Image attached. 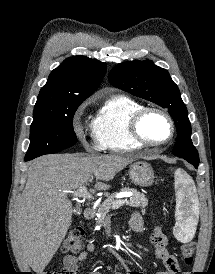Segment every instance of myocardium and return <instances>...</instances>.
<instances>
[{"label":"myocardium","mask_w":215,"mask_h":274,"mask_svg":"<svg viewBox=\"0 0 215 274\" xmlns=\"http://www.w3.org/2000/svg\"><path fill=\"white\" fill-rule=\"evenodd\" d=\"M150 113H158V114L162 115L169 123L170 135L166 140H164L162 142L155 143V142H151V141L147 140L144 137V135L142 134L141 123L144 120V118ZM129 132H130L131 137L137 143L141 144L142 146L159 148V147H163V146L169 144L172 141V139L174 138L175 123H174L172 117L170 116V114L167 113L165 110H163L161 108H157V107H143L142 109L135 112L133 114V116L131 117V119L129 121Z\"/></svg>","instance_id":"1"}]
</instances>
